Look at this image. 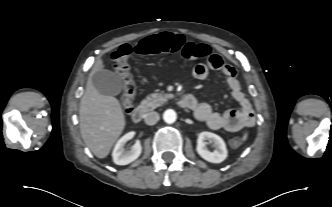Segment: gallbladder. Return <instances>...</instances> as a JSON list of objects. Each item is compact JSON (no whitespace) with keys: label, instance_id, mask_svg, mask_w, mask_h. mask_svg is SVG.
<instances>
[{"label":"gallbladder","instance_id":"obj_1","mask_svg":"<svg viewBox=\"0 0 332 207\" xmlns=\"http://www.w3.org/2000/svg\"><path fill=\"white\" fill-rule=\"evenodd\" d=\"M92 83L96 90L103 95L115 96L120 94L122 83L120 78L112 71L101 69L92 76Z\"/></svg>","mask_w":332,"mask_h":207}]
</instances>
